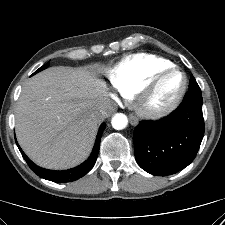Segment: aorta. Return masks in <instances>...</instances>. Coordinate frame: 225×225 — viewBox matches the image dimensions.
Here are the masks:
<instances>
[{"label":"aorta","mask_w":225,"mask_h":225,"mask_svg":"<svg viewBox=\"0 0 225 225\" xmlns=\"http://www.w3.org/2000/svg\"><path fill=\"white\" fill-rule=\"evenodd\" d=\"M112 127L115 130H122L124 129L128 124V118L123 113H116L111 120Z\"/></svg>","instance_id":"obj_1"}]
</instances>
